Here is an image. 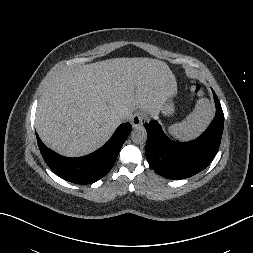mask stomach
Listing matches in <instances>:
<instances>
[{
	"label": "stomach",
	"instance_id": "0dacf381",
	"mask_svg": "<svg viewBox=\"0 0 253 253\" xmlns=\"http://www.w3.org/2000/svg\"><path fill=\"white\" fill-rule=\"evenodd\" d=\"M177 96V85L173 86L170 90V94L168 96L167 101L162 107V113L166 116H170L175 111L174 101L173 99Z\"/></svg>",
	"mask_w": 253,
	"mask_h": 253
}]
</instances>
